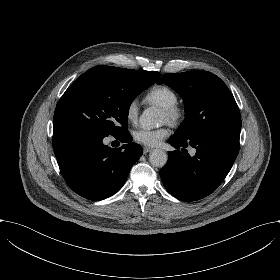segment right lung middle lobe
Returning <instances> with one entry per match:
<instances>
[{
	"label": "right lung middle lobe",
	"instance_id": "obj_1",
	"mask_svg": "<svg viewBox=\"0 0 280 280\" xmlns=\"http://www.w3.org/2000/svg\"><path fill=\"white\" fill-rule=\"evenodd\" d=\"M153 82L136 70L95 66L65 91L53 118V134L82 133L115 137L128 129L132 101Z\"/></svg>",
	"mask_w": 280,
	"mask_h": 280
}]
</instances>
